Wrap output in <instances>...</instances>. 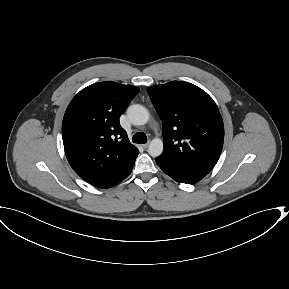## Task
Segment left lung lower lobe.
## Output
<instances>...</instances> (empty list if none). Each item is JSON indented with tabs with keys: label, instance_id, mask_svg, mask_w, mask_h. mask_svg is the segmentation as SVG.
<instances>
[{
	"label": "left lung lower lobe",
	"instance_id": "left-lung-lower-lobe-1",
	"mask_svg": "<svg viewBox=\"0 0 289 289\" xmlns=\"http://www.w3.org/2000/svg\"><path fill=\"white\" fill-rule=\"evenodd\" d=\"M156 162L164 173L169 175L172 179H174L177 182L193 184V183L200 181L203 177L206 176V174L194 173V172H189V171L179 170V169L168 170L162 167L158 161Z\"/></svg>",
	"mask_w": 289,
	"mask_h": 289
}]
</instances>
